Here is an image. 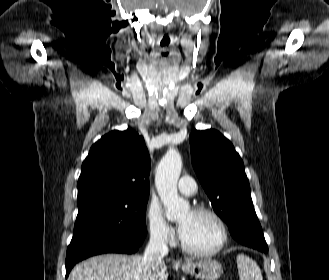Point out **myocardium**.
<instances>
[{
    "instance_id": "1",
    "label": "myocardium",
    "mask_w": 329,
    "mask_h": 280,
    "mask_svg": "<svg viewBox=\"0 0 329 280\" xmlns=\"http://www.w3.org/2000/svg\"><path fill=\"white\" fill-rule=\"evenodd\" d=\"M190 211L195 214H202V215H207V216L211 217L219 227L220 239H219L218 244L215 247H213L211 249L200 250V249H195V248L188 246L180 235L179 242H180V246H181L182 250L189 255L198 256V257L214 256V255L218 254L219 252H221L224 249V247L226 246L227 241H228V236H229L227 225H226L225 221L223 220V218L221 217V215L219 213H217L215 210H213L209 207H206V206H194L191 208Z\"/></svg>"
}]
</instances>
